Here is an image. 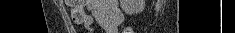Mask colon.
<instances>
[{
  "label": "colon",
  "instance_id": "obj_1",
  "mask_svg": "<svg viewBox=\"0 0 235 33\" xmlns=\"http://www.w3.org/2000/svg\"><path fill=\"white\" fill-rule=\"evenodd\" d=\"M66 4L72 8V19L76 23H82L85 18L83 6L87 3L86 0H66ZM130 33V32H126Z\"/></svg>",
  "mask_w": 235,
  "mask_h": 33
}]
</instances>
